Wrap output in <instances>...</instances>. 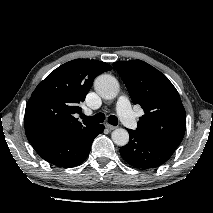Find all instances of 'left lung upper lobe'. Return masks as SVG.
Returning <instances> with one entry per match:
<instances>
[{
	"mask_svg": "<svg viewBox=\"0 0 213 213\" xmlns=\"http://www.w3.org/2000/svg\"><path fill=\"white\" fill-rule=\"evenodd\" d=\"M134 104L144 115L136 131L147 140L176 149L186 129V113L179 93L169 79L141 60L114 62Z\"/></svg>",
	"mask_w": 213,
	"mask_h": 213,
	"instance_id": "1",
	"label": "left lung upper lobe"
}]
</instances>
